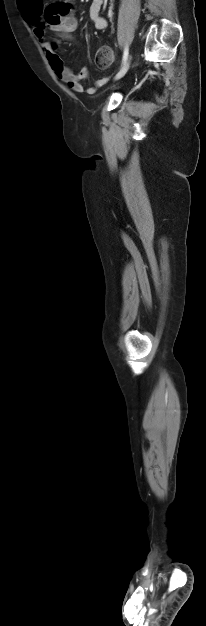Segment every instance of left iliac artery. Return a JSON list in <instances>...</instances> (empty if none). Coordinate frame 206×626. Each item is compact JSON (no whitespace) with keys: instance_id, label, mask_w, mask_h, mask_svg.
<instances>
[{"instance_id":"left-iliac-artery-1","label":"left iliac artery","mask_w":206,"mask_h":626,"mask_svg":"<svg viewBox=\"0 0 206 626\" xmlns=\"http://www.w3.org/2000/svg\"><path fill=\"white\" fill-rule=\"evenodd\" d=\"M128 54H129L128 46H125L124 53H123L122 64H124L126 62V60L128 58Z\"/></svg>"}]
</instances>
